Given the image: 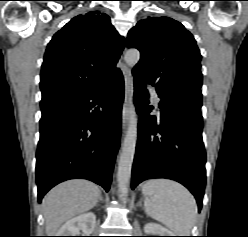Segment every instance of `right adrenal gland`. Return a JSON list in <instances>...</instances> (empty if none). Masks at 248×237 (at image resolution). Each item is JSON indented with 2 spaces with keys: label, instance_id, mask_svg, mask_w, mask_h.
<instances>
[{
  "label": "right adrenal gland",
  "instance_id": "1",
  "mask_svg": "<svg viewBox=\"0 0 248 237\" xmlns=\"http://www.w3.org/2000/svg\"><path fill=\"white\" fill-rule=\"evenodd\" d=\"M103 199H102V196H101V194H100V196H99V200H98V202H97V204L100 202V201H102ZM96 204V205H97Z\"/></svg>",
  "mask_w": 248,
  "mask_h": 237
}]
</instances>
